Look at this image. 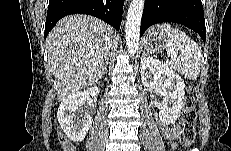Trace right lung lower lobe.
Segmentation results:
<instances>
[{
	"mask_svg": "<svg viewBox=\"0 0 231 151\" xmlns=\"http://www.w3.org/2000/svg\"><path fill=\"white\" fill-rule=\"evenodd\" d=\"M123 4L122 0H50L44 37L61 18L71 14L95 16L119 30Z\"/></svg>",
	"mask_w": 231,
	"mask_h": 151,
	"instance_id": "98d812e1",
	"label": "right lung lower lobe"
}]
</instances>
